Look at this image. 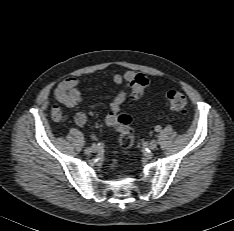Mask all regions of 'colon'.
Wrapping results in <instances>:
<instances>
[{"label":"colon","mask_w":234,"mask_h":231,"mask_svg":"<svg viewBox=\"0 0 234 231\" xmlns=\"http://www.w3.org/2000/svg\"><path fill=\"white\" fill-rule=\"evenodd\" d=\"M147 84V76L143 74L134 76L132 80L131 98L133 100L140 99ZM166 96L172 109L176 111H184L186 109L187 98L182 92L178 90H169ZM131 124V116L127 113H122L116 122V129L119 132V142L125 148L131 147L134 142V132Z\"/></svg>","instance_id":"5ec220e1"}]
</instances>
